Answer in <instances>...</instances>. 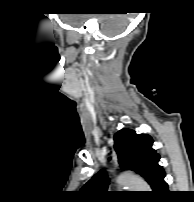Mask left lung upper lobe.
Instances as JSON below:
<instances>
[{
	"instance_id": "obj_1",
	"label": "left lung upper lobe",
	"mask_w": 194,
	"mask_h": 202,
	"mask_svg": "<svg viewBox=\"0 0 194 202\" xmlns=\"http://www.w3.org/2000/svg\"><path fill=\"white\" fill-rule=\"evenodd\" d=\"M114 149L120 167L140 174L152 187L160 171V156L152 148L153 139L147 134H136L134 130L122 129L114 135ZM109 178L105 170L94 175L80 190L90 199L106 198Z\"/></svg>"
}]
</instances>
